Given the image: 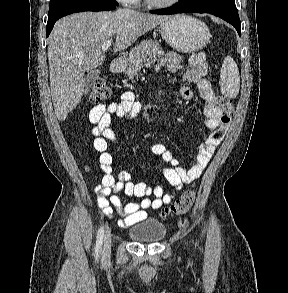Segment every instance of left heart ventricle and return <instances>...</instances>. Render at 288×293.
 <instances>
[{"label":"left heart ventricle","mask_w":288,"mask_h":293,"mask_svg":"<svg viewBox=\"0 0 288 293\" xmlns=\"http://www.w3.org/2000/svg\"><path fill=\"white\" fill-rule=\"evenodd\" d=\"M155 1H158V2H165V1H168V0H155Z\"/></svg>","instance_id":"b2bd125f"}]
</instances>
